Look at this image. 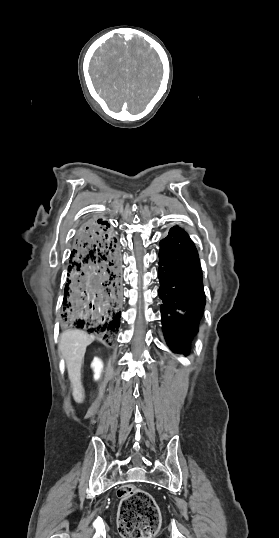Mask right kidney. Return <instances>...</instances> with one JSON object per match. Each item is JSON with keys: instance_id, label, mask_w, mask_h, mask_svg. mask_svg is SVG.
Returning a JSON list of instances; mask_svg holds the SVG:
<instances>
[{"instance_id": "right-kidney-1", "label": "right kidney", "mask_w": 279, "mask_h": 538, "mask_svg": "<svg viewBox=\"0 0 279 538\" xmlns=\"http://www.w3.org/2000/svg\"><path fill=\"white\" fill-rule=\"evenodd\" d=\"M91 368H93L94 372H95V380H98V378H100V372L103 368V364L102 362H100L99 358H94L92 364H91Z\"/></svg>"}]
</instances>
